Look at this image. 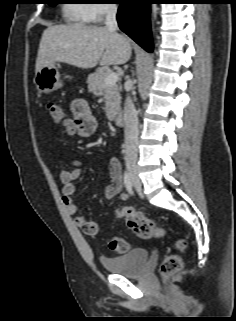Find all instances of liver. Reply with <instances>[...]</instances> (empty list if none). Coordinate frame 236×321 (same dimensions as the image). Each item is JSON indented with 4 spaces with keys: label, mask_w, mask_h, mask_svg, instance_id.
Here are the masks:
<instances>
[{
    "label": "liver",
    "mask_w": 236,
    "mask_h": 321,
    "mask_svg": "<svg viewBox=\"0 0 236 321\" xmlns=\"http://www.w3.org/2000/svg\"><path fill=\"white\" fill-rule=\"evenodd\" d=\"M131 54L129 40L106 27L96 25H56L42 34L35 71L57 62L88 69L121 65Z\"/></svg>",
    "instance_id": "1"
}]
</instances>
